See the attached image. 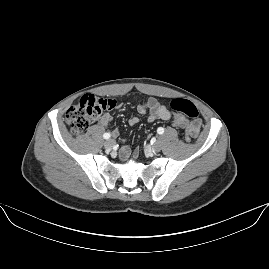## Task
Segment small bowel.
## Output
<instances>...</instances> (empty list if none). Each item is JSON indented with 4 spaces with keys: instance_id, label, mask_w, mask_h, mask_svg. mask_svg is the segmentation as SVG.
Returning a JSON list of instances; mask_svg holds the SVG:
<instances>
[{
    "instance_id": "small-bowel-1",
    "label": "small bowel",
    "mask_w": 269,
    "mask_h": 269,
    "mask_svg": "<svg viewBox=\"0 0 269 269\" xmlns=\"http://www.w3.org/2000/svg\"><path fill=\"white\" fill-rule=\"evenodd\" d=\"M138 112L140 114H146L148 116L149 122H154L156 120H164V121H171L175 127L183 128L188 125V121L185 117L181 115H173L171 111L162 103H160L156 98L150 97L144 103L138 106ZM113 121V116L109 112H104L99 120L98 123L101 126L107 127ZM139 118L137 116H132L129 118L128 123L130 125H136L139 123ZM137 150H140V147H137ZM131 150L128 146H123L120 150V159L122 161H126L130 156ZM136 156L132 157V160H135ZM135 161L132 163L127 164V167L133 166Z\"/></svg>"
}]
</instances>
